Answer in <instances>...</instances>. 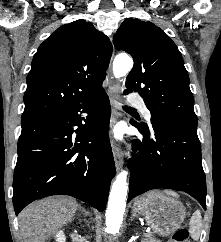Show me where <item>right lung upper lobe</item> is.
Segmentation results:
<instances>
[{"label":"right lung upper lobe","mask_w":221,"mask_h":242,"mask_svg":"<svg viewBox=\"0 0 221 242\" xmlns=\"http://www.w3.org/2000/svg\"><path fill=\"white\" fill-rule=\"evenodd\" d=\"M112 44L92 23L59 27L38 48L27 76L21 122L63 111L102 89Z\"/></svg>","instance_id":"1"}]
</instances>
